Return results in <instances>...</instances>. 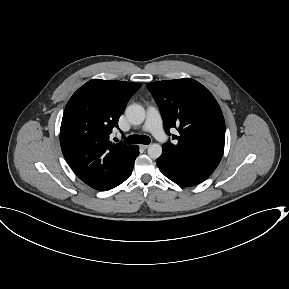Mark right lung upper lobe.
<instances>
[{
  "instance_id": "obj_1",
  "label": "right lung upper lobe",
  "mask_w": 289,
  "mask_h": 289,
  "mask_svg": "<svg viewBox=\"0 0 289 289\" xmlns=\"http://www.w3.org/2000/svg\"><path fill=\"white\" fill-rule=\"evenodd\" d=\"M139 83L93 79L68 101L60 128L63 155L90 187L105 191L125 171L135 145L109 141L114 127Z\"/></svg>"
}]
</instances>
